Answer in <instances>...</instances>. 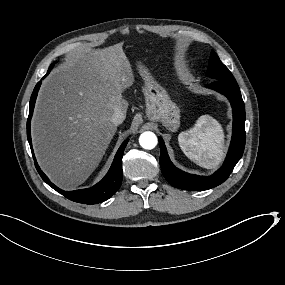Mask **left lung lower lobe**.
I'll return each instance as SVG.
<instances>
[{
  "instance_id": "left-lung-lower-lobe-1",
  "label": "left lung lower lobe",
  "mask_w": 285,
  "mask_h": 285,
  "mask_svg": "<svg viewBox=\"0 0 285 285\" xmlns=\"http://www.w3.org/2000/svg\"><path fill=\"white\" fill-rule=\"evenodd\" d=\"M207 87L225 95L233 109V133L231 145L223 166L209 177L188 174L176 168L170 161L162 138L160 144V166L164 177L174 187L202 191L214 188L223 183L233 171L237 162L241 159L245 146V108L236 81L215 80Z\"/></svg>"
}]
</instances>
